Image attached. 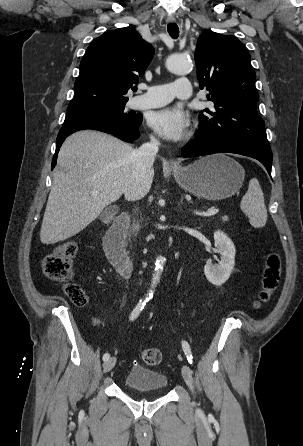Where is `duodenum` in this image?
<instances>
[{
	"label": "duodenum",
	"mask_w": 303,
	"mask_h": 446,
	"mask_svg": "<svg viewBox=\"0 0 303 446\" xmlns=\"http://www.w3.org/2000/svg\"><path fill=\"white\" fill-rule=\"evenodd\" d=\"M129 223V214L126 212L120 213L108 229L103 242L110 262L125 275L132 271V262L125 250V237Z\"/></svg>",
	"instance_id": "1"
}]
</instances>
